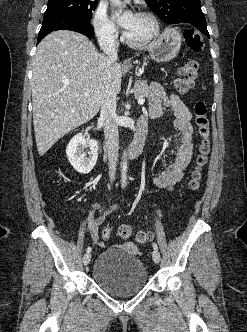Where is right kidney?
Listing matches in <instances>:
<instances>
[{
  "mask_svg": "<svg viewBox=\"0 0 247 332\" xmlns=\"http://www.w3.org/2000/svg\"><path fill=\"white\" fill-rule=\"evenodd\" d=\"M90 151L84 152L85 147ZM66 155L71 166L79 173L87 174L96 165L98 143L94 139H85L82 133L75 135L68 143Z\"/></svg>",
  "mask_w": 247,
  "mask_h": 332,
  "instance_id": "obj_1",
  "label": "right kidney"
}]
</instances>
